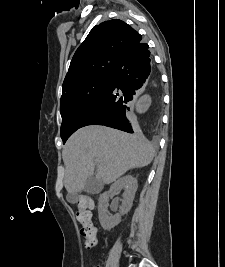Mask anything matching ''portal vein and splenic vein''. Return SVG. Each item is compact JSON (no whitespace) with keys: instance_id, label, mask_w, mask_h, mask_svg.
<instances>
[{"instance_id":"18ae733b","label":"portal vein and splenic vein","mask_w":225,"mask_h":267,"mask_svg":"<svg viewBox=\"0 0 225 267\" xmlns=\"http://www.w3.org/2000/svg\"><path fill=\"white\" fill-rule=\"evenodd\" d=\"M95 162H96V163H98V162H99V160H98V159H95Z\"/></svg>"}]
</instances>
